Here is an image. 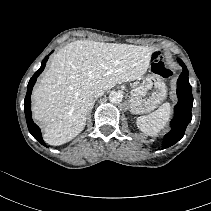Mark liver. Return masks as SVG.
<instances>
[{
  "label": "liver",
  "mask_w": 211,
  "mask_h": 211,
  "mask_svg": "<svg viewBox=\"0 0 211 211\" xmlns=\"http://www.w3.org/2000/svg\"><path fill=\"white\" fill-rule=\"evenodd\" d=\"M155 48L77 40L54 54L32 92V113L50 145H62L83 131L94 90L141 78Z\"/></svg>",
  "instance_id": "obj_1"
}]
</instances>
